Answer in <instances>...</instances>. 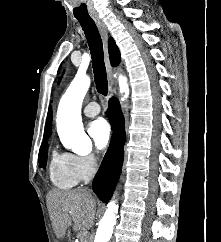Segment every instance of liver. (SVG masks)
<instances>
[{
	"instance_id": "obj_1",
	"label": "liver",
	"mask_w": 221,
	"mask_h": 242,
	"mask_svg": "<svg viewBox=\"0 0 221 242\" xmlns=\"http://www.w3.org/2000/svg\"><path fill=\"white\" fill-rule=\"evenodd\" d=\"M47 205L54 232L63 240L70 226L73 231L86 230L93 224L96 200L86 190L49 192Z\"/></svg>"
}]
</instances>
